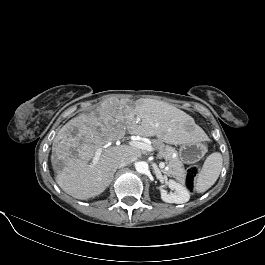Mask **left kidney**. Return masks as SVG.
Masks as SVG:
<instances>
[{
  "label": "left kidney",
  "mask_w": 265,
  "mask_h": 265,
  "mask_svg": "<svg viewBox=\"0 0 265 265\" xmlns=\"http://www.w3.org/2000/svg\"><path fill=\"white\" fill-rule=\"evenodd\" d=\"M168 185L175 191L168 194L166 190L160 189V196L164 202L182 204L189 201L190 193L185 186L174 180H169Z\"/></svg>",
  "instance_id": "left-kidney-1"
}]
</instances>
